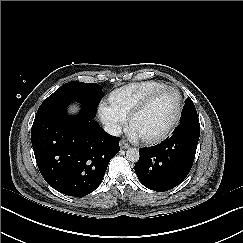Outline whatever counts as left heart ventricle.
Instances as JSON below:
<instances>
[{"instance_id": "obj_1", "label": "left heart ventricle", "mask_w": 243, "mask_h": 243, "mask_svg": "<svg viewBox=\"0 0 243 243\" xmlns=\"http://www.w3.org/2000/svg\"><path fill=\"white\" fill-rule=\"evenodd\" d=\"M178 104V95L165 92L152 100L135 120L137 131L146 136L162 133L172 121Z\"/></svg>"}]
</instances>
